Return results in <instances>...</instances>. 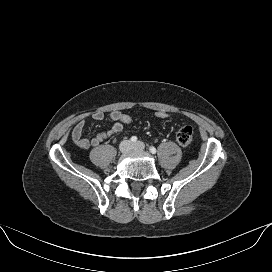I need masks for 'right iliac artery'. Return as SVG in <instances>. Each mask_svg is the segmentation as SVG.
<instances>
[{"label":"right iliac artery","mask_w":272,"mask_h":272,"mask_svg":"<svg viewBox=\"0 0 272 272\" xmlns=\"http://www.w3.org/2000/svg\"><path fill=\"white\" fill-rule=\"evenodd\" d=\"M130 140H131V142H136V141H137V137H136V136H132V137L130 138Z\"/></svg>","instance_id":"82829eb1"}]
</instances>
